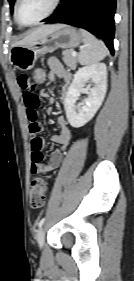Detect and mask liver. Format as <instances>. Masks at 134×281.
Here are the masks:
<instances>
[{"instance_id":"1","label":"liver","mask_w":134,"mask_h":281,"mask_svg":"<svg viewBox=\"0 0 134 281\" xmlns=\"http://www.w3.org/2000/svg\"><path fill=\"white\" fill-rule=\"evenodd\" d=\"M61 27L60 24H55V25H45L41 26L39 28L34 29L31 31L29 35H27L25 38L22 40L16 42L14 46L16 45H26L35 42L36 40L44 37L45 35L59 29Z\"/></svg>"}]
</instances>
